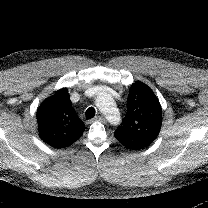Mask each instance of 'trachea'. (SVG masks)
Wrapping results in <instances>:
<instances>
[{
    "instance_id": "obj_1",
    "label": "trachea",
    "mask_w": 208,
    "mask_h": 208,
    "mask_svg": "<svg viewBox=\"0 0 208 208\" xmlns=\"http://www.w3.org/2000/svg\"><path fill=\"white\" fill-rule=\"evenodd\" d=\"M95 109L93 107H89L87 110H86V118L87 119H91L95 116Z\"/></svg>"
}]
</instances>
